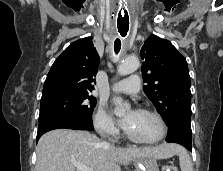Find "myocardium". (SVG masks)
Returning <instances> with one entry per match:
<instances>
[{
	"mask_svg": "<svg viewBox=\"0 0 223 171\" xmlns=\"http://www.w3.org/2000/svg\"><path fill=\"white\" fill-rule=\"evenodd\" d=\"M137 112L150 115L157 120L159 124V128H160L159 135L153 140L146 141V140L136 139L135 137L131 136L127 131H125L126 138L129 141L136 144H140V145H154V144L159 143L166 136V133H167V125L164 118L157 111L149 109V108H140L137 110Z\"/></svg>",
	"mask_w": 223,
	"mask_h": 171,
	"instance_id": "obj_1",
	"label": "myocardium"
}]
</instances>
